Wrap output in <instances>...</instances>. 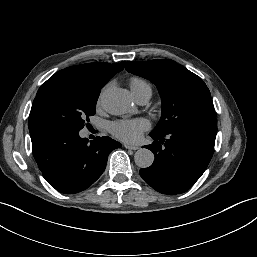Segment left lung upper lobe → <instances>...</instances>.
Wrapping results in <instances>:
<instances>
[{
	"mask_svg": "<svg viewBox=\"0 0 257 257\" xmlns=\"http://www.w3.org/2000/svg\"><path fill=\"white\" fill-rule=\"evenodd\" d=\"M126 70L154 83L162 99V116L153 134L187 124L215 121L211 94L204 81L173 60L128 61Z\"/></svg>",
	"mask_w": 257,
	"mask_h": 257,
	"instance_id": "left-lung-upper-lobe-1",
	"label": "left lung upper lobe"
}]
</instances>
